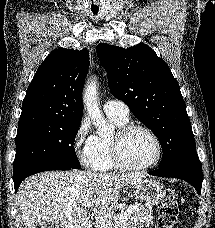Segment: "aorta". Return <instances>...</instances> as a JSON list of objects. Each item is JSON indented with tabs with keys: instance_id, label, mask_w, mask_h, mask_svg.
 I'll list each match as a JSON object with an SVG mask.
<instances>
[{
	"instance_id": "762f6f07",
	"label": "aorta",
	"mask_w": 215,
	"mask_h": 228,
	"mask_svg": "<svg viewBox=\"0 0 215 228\" xmlns=\"http://www.w3.org/2000/svg\"><path fill=\"white\" fill-rule=\"evenodd\" d=\"M96 100V92L94 84H90L88 88H86L83 96V102L86 106V110L97 130V134H107L109 132L111 126L107 124L98 104L95 102Z\"/></svg>"
}]
</instances>
